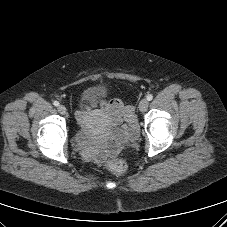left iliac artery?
I'll list each match as a JSON object with an SVG mask.
<instances>
[{"label": "left iliac artery", "mask_w": 227, "mask_h": 227, "mask_svg": "<svg viewBox=\"0 0 227 227\" xmlns=\"http://www.w3.org/2000/svg\"><path fill=\"white\" fill-rule=\"evenodd\" d=\"M153 99V96L151 95V94H149L148 96H147V100L148 101H151Z\"/></svg>", "instance_id": "44dca946"}]
</instances>
